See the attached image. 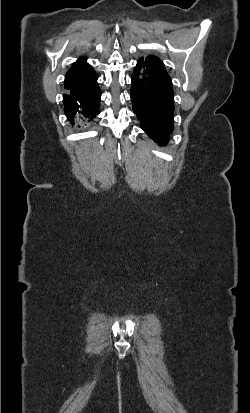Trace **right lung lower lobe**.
I'll use <instances>...</instances> for the list:
<instances>
[{
	"label": "right lung lower lobe",
	"mask_w": 250,
	"mask_h": 413,
	"mask_svg": "<svg viewBox=\"0 0 250 413\" xmlns=\"http://www.w3.org/2000/svg\"><path fill=\"white\" fill-rule=\"evenodd\" d=\"M98 75L93 72L88 78L72 84L65 82L68 92L63 95L64 111L71 123H88L100 113L101 91Z\"/></svg>",
	"instance_id": "98d812e1"
}]
</instances>
